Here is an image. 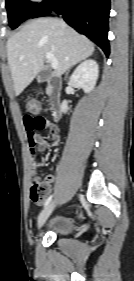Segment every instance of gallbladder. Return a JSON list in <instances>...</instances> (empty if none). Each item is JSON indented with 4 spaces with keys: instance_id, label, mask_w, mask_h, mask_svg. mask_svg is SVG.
I'll list each match as a JSON object with an SVG mask.
<instances>
[{
    "instance_id": "1",
    "label": "gallbladder",
    "mask_w": 134,
    "mask_h": 281,
    "mask_svg": "<svg viewBox=\"0 0 134 281\" xmlns=\"http://www.w3.org/2000/svg\"><path fill=\"white\" fill-rule=\"evenodd\" d=\"M50 78V73L46 70L41 71L37 77L38 82H44L47 81Z\"/></svg>"
}]
</instances>
